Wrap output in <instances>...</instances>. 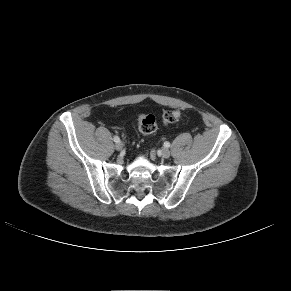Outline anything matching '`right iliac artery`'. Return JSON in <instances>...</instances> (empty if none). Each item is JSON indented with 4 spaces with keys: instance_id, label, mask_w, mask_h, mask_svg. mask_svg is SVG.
<instances>
[{
    "instance_id": "obj_1",
    "label": "right iliac artery",
    "mask_w": 291,
    "mask_h": 291,
    "mask_svg": "<svg viewBox=\"0 0 291 291\" xmlns=\"http://www.w3.org/2000/svg\"><path fill=\"white\" fill-rule=\"evenodd\" d=\"M113 139H114V142H116V143H117V142H120V139H119V137H118V136H114V138H113Z\"/></svg>"
}]
</instances>
